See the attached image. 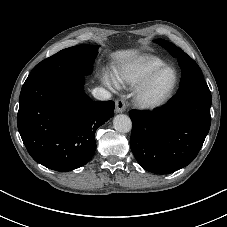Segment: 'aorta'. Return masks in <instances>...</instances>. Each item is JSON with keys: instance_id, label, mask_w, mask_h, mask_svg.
I'll return each mask as SVG.
<instances>
[{"instance_id": "aorta-1", "label": "aorta", "mask_w": 227, "mask_h": 227, "mask_svg": "<svg viewBox=\"0 0 227 227\" xmlns=\"http://www.w3.org/2000/svg\"><path fill=\"white\" fill-rule=\"evenodd\" d=\"M113 126L118 132L127 133L131 131L132 122L129 116L125 114H119L114 117Z\"/></svg>"}]
</instances>
